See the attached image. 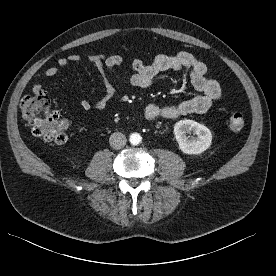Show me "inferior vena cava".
<instances>
[{
  "instance_id": "602c4592",
  "label": "inferior vena cava",
  "mask_w": 276,
  "mask_h": 276,
  "mask_svg": "<svg viewBox=\"0 0 276 276\" xmlns=\"http://www.w3.org/2000/svg\"><path fill=\"white\" fill-rule=\"evenodd\" d=\"M126 141L127 140L125 135L121 132H115L109 138L110 146L116 150L123 148L126 144Z\"/></svg>"
}]
</instances>
